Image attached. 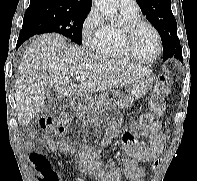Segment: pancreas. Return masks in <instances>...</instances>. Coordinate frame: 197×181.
I'll return each instance as SVG.
<instances>
[{"instance_id":"cf45deb5","label":"pancreas","mask_w":197,"mask_h":181,"mask_svg":"<svg viewBox=\"0 0 197 181\" xmlns=\"http://www.w3.org/2000/svg\"><path fill=\"white\" fill-rule=\"evenodd\" d=\"M107 108L108 107H106V109ZM103 111H100V112H87V114H88V120H91V121L97 120L99 118V116L102 114Z\"/></svg>"}]
</instances>
